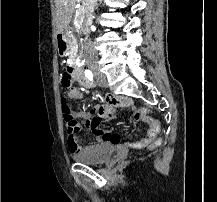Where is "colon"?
Masks as SVG:
<instances>
[{
    "label": "colon",
    "mask_w": 217,
    "mask_h": 202,
    "mask_svg": "<svg viewBox=\"0 0 217 202\" xmlns=\"http://www.w3.org/2000/svg\"><path fill=\"white\" fill-rule=\"evenodd\" d=\"M59 95L61 96V105H62V117L69 128V131H74L78 129L77 121L73 117L72 106L68 103V97L72 95L71 91H60ZM132 121L133 123H138V118L145 117L148 114V109H146V105H143V108H138L137 111H133L132 113ZM155 144H160L163 142V137H156Z\"/></svg>",
    "instance_id": "5ec220e1"
}]
</instances>
